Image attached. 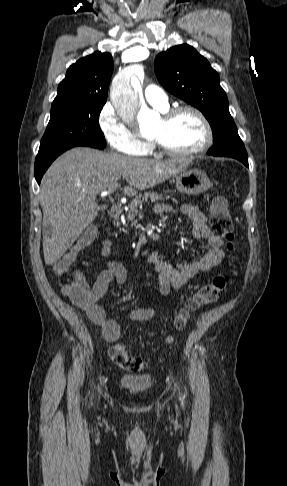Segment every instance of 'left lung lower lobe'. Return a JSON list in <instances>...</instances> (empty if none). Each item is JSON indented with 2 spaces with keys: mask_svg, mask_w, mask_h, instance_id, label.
Returning a JSON list of instances; mask_svg holds the SVG:
<instances>
[{
  "mask_svg": "<svg viewBox=\"0 0 287 486\" xmlns=\"http://www.w3.org/2000/svg\"><path fill=\"white\" fill-rule=\"evenodd\" d=\"M236 159L240 160L241 162H243L245 164V166L249 167L248 157H242V158H236Z\"/></svg>",
  "mask_w": 287,
  "mask_h": 486,
  "instance_id": "obj_1",
  "label": "left lung lower lobe"
}]
</instances>
